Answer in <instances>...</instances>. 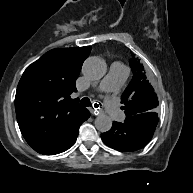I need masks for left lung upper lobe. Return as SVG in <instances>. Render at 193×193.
Listing matches in <instances>:
<instances>
[{
  "instance_id": "left-lung-upper-lobe-1",
  "label": "left lung upper lobe",
  "mask_w": 193,
  "mask_h": 193,
  "mask_svg": "<svg viewBox=\"0 0 193 193\" xmlns=\"http://www.w3.org/2000/svg\"><path fill=\"white\" fill-rule=\"evenodd\" d=\"M130 67L134 76L121 96L126 119L140 114L142 117L157 116V95L146 78L143 65L136 59H131Z\"/></svg>"
}]
</instances>
